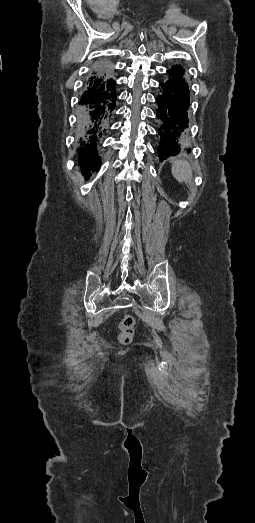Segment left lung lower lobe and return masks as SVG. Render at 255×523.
<instances>
[{
    "mask_svg": "<svg viewBox=\"0 0 255 523\" xmlns=\"http://www.w3.org/2000/svg\"><path fill=\"white\" fill-rule=\"evenodd\" d=\"M158 88L162 92L156 97V103L159 105L156 119L162 121V125H160L161 129H157L161 140L158 148V153L161 154H157V160L166 162L169 158H173L174 153L178 154L180 150L186 148V140L182 136H188L187 114L192 99L190 89L175 81L173 76L160 80Z\"/></svg>",
    "mask_w": 255,
    "mask_h": 523,
    "instance_id": "obj_1",
    "label": "left lung lower lobe"
}]
</instances>
